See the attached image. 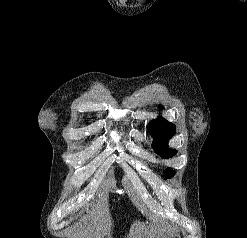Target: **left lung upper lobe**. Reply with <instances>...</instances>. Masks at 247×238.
<instances>
[{"mask_svg": "<svg viewBox=\"0 0 247 238\" xmlns=\"http://www.w3.org/2000/svg\"><path fill=\"white\" fill-rule=\"evenodd\" d=\"M175 125L167 120L159 117L153 120L148 129L154 138V150L160 154L163 158H170L176 153L174 149H169L168 141L175 134ZM175 174L174 171L167 169L165 171V177L171 178Z\"/></svg>", "mask_w": 247, "mask_h": 238, "instance_id": "1", "label": "left lung upper lobe"}]
</instances>
